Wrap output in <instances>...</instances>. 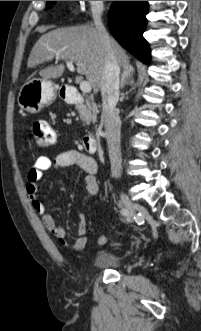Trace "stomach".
Segmentation results:
<instances>
[{"instance_id":"obj_1","label":"stomach","mask_w":201,"mask_h":331,"mask_svg":"<svg viewBox=\"0 0 201 331\" xmlns=\"http://www.w3.org/2000/svg\"><path fill=\"white\" fill-rule=\"evenodd\" d=\"M56 98L54 83L49 79L33 78L20 88L17 102L28 113H38Z\"/></svg>"}]
</instances>
